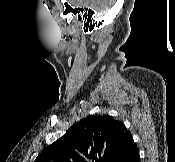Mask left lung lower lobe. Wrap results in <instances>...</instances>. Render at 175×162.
Here are the masks:
<instances>
[{
  "mask_svg": "<svg viewBox=\"0 0 175 162\" xmlns=\"http://www.w3.org/2000/svg\"><path fill=\"white\" fill-rule=\"evenodd\" d=\"M109 162H140L137 146L129 132L124 134Z\"/></svg>",
  "mask_w": 175,
  "mask_h": 162,
  "instance_id": "left-lung-lower-lobe-1",
  "label": "left lung lower lobe"
}]
</instances>
